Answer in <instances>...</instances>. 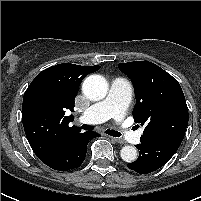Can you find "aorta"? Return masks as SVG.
Instances as JSON below:
<instances>
[{"label":"aorta","instance_id":"obj_1","mask_svg":"<svg viewBox=\"0 0 201 201\" xmlns=\"http://www.w3.org/2000/svg\"><path fill=\"white\" fill-rule=\"evenodd\" d=\"M82 92L92 101L102 100L108 92L107 81L101 75H91L84 80ZM120 155L125 162H133L137 159V149L126 145L122 147Z\"/></svg>","mask_w":201,"mask_h":201}]
</instances>
